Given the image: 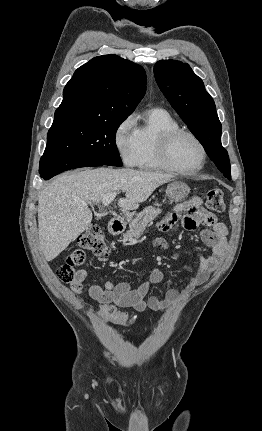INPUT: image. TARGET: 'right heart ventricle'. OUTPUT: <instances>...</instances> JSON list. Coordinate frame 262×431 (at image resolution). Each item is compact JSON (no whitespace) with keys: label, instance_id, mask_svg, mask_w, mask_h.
<instances>
[{"label":"right heart ventricle","instance_id":"1","mask_svg":"<svg viewBox=\"0 0 262 431\" xmlns=\"http://www.w3.org/2000/svg\"><path fill=\"white\" fill-rule=\"evenodd\" d=\"M178 128L177 121L165 110L149 109L143 122L136 126L138 155L136 165L142 169L163 170L158 159V142L165 130Z\"/></svg>","mask_w":262,"mask_h":431}]
</instances>
